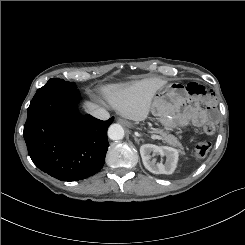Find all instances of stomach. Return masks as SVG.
Segmentation results:
<instances>
[{"instance_id": "stomach-1", "label": "stomach", "mask_w": 245, "mask_h": 245, "mask_svg": "<svg viewBox=\"0 0 245 245\" xmlns=\"http://www.w3.org/2000/svg\"><path fill=\"white\" fill-rule=\"evenodd\" d=\"M151 112L169 130L188 125L192 107L186 90L177 83H165L153 98Z\"/></svg>"}]
</instances>
